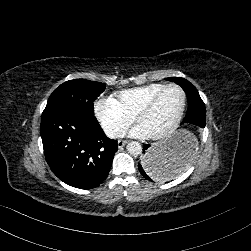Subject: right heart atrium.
<instances>
[{"instance_id":"1","label":"right heart atrium","mask_w":251,"mask_h":251,"mask_svg":"<svg viewBox=\"0 0 251 251\" xmlns=\"http://www.w3.org/2000/svg\"><path fill=\"white\" fill-rule=\"evenodd\" d=\"M93 110L107 135L112 138L120 137L135 121V115L129 112L113 94L97 98Z\"/></svg>"}]
</instances>
